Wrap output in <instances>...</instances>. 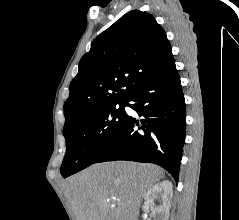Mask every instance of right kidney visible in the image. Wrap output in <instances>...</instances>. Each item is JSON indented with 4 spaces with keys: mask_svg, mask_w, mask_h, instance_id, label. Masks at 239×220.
<instances>
[{
    "mask_svg": "<svg viewBox=\"0 0 239 220\" xmlns=\"http://www.w3.org/2000/svg\"><path fill=\"white\" fill-rule=\"evenodd\" d=\"M173 185L165 180L153 185L145 194V201L148 208L151 209L152 220H168L171 207V197L173 194ZM155 201L159 205H155Z\"/></svg>",
    "mask_w": 239,
    "mask_h": 220,
    "instance_id": "1",
    "label": "right kidney"
}]
</instances>
